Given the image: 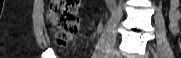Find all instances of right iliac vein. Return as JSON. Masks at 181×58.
Masks as SVG:
<instances>
[{"instance_id": "obj_1", "label": "right iliac vein", "mask_w": 181, "mask_h": 58, "mask_svg": "<svg viewBox=\"0 0 181 58\" xmlns=\"http://www.w3.org/2000/svg\"><path fill=\"white\" fill-rule=\"evenodd\" d=\"M120 57V52L118 50H116L113 54L112 58H119Z\"/></svg>"}]
</instances>
